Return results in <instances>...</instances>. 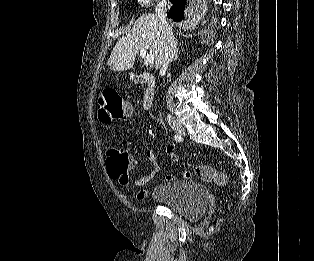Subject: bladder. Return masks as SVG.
I'll list each match as a JSON object with an SVG mask.
<instances>
[{
  "instance_id": "1",
  "label": "bladder",
  "mask_w": 314,
  "mask_h": 261,
  "mask_svg": "<svg viewBox=\"0 0 314 261\" xmlns=\"http://www.w3.org/2000/svg\"><path fill=\"white\" fill-rule=\"evenodd\" d=\"M151 198L189 218L200 216L208 207L206 187L189 180L159 184L154 188Z\"/></svg>"
}]
</instances>
